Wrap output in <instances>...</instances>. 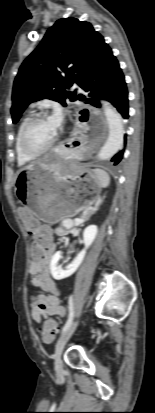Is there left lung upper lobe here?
Masks as SVG:
<instances>
[{
  "instance_id": "1",
  "label": "left lung upper lobe",
  "mask_w": 155,
  "mask_h": 413,
  "mask_svg": "<svg viewBox=\"0 0 155 413\" xmlns=\"http://www.w3.org/2000/svg\"><path fill=\"white\" fill-rule=\"evenodd\" d=\"M107 46L101 34L85 21L69 17L48 29L39 46L25 59L15 78L11 108L13 123L31 102L44 98L66 106L65 100L77 99L68 92L72 83H80ZM65 73L63 77L61 73Z\"/></svg>"
}]
</instances>
